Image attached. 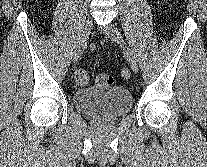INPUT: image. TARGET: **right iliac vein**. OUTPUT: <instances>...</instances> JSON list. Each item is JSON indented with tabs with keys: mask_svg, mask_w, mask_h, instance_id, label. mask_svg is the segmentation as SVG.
Instances as JSON below:
<instances>
[{
	"mask_svg": "<svg viewBox=\"0 0 207 167\" xmlns=\"http://www.w3.org/2000/svg\"><path fill=\"white\" fill-rule=\"evenodd\" d=\"M92 25H93L92 20L88 18L83 26L82 34H81L79 43H78L76 50H75V53H74V57H73L74 62L78 61V59L80 58L84 49L86 48L87 39H88L89 34L91 32Z\"/></svg>",
	"mask_w": 207,
	"mask_h": 167,
	"instance_id": "right-iliac-vein-1",
	"label": "right iliac vein"
}]
</instances>
